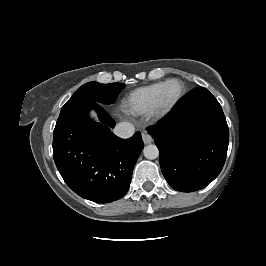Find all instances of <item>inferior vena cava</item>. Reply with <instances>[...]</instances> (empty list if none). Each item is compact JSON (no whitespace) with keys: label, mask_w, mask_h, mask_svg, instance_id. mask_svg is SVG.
<instances>
[{"label":"inferior vena cava","mask_w":266,"mask_h":266,"mask_svg":"<svg viewBox=\"0 0 266 266\" xmlns=\"http://www.w3.org/2000/svg\"><path fill=\"white\" fill-rule=\"evenodd\" d=\"M114 134L120 138H130L134 133V126L129 122H121L117 124L113 130Z\"/></svg>","instance_id":"602c4592"}]
</instances>
